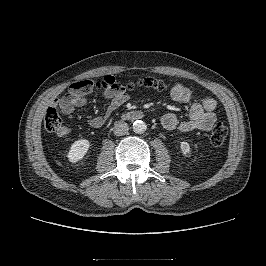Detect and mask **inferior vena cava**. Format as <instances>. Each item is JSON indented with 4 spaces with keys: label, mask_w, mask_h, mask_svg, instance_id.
Wrapping results in <instances>:
<instances>
[{
    "label": "inferior vena cava",
    "mask_w": 266,
    "mask_h": 266,
    "mask_svg": "<svg viewBox=\"0 0 266 266\" xmlns=\"http://www.w3.org/2000/svg\"><path fill=\"white\" fill-rule=\"evenodd\" d=\"M114 134L117 135V136H123L125 135L128 130H129V126L126 122L124 121H117L115 124H114Z\"/></svg>",
    "instance_id": "1"
}]
</instances>
